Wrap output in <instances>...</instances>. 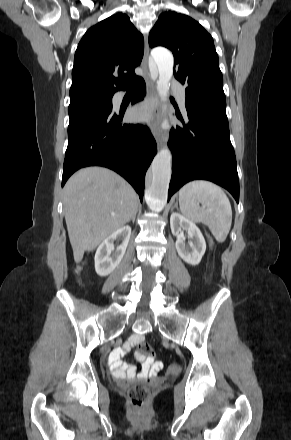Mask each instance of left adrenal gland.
<instances>
[{
  "mask_svg": "<svg viewBox=\"0 0 291 440\" xmlns=\"http://www.w3.org/2000/svg\"><path fill=\"white\" fill-rule=\"evenodd\" d=\"M174 207L178 208V204H177V203H175V206H174Z\"/></svg>",
  "mask_w": 291,
  "mask_h": 440,
  "instance_id": "left-adrenal-gland-1",
  "label": "left adrenal gland"
}]
</instances>
